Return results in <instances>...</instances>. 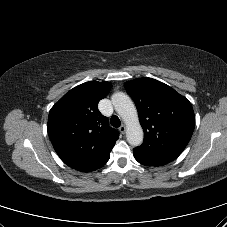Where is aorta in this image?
Instances as JSON below:
<instances>
[{
  "instance_id": "obj_1",
  "label": "aorta",
  "mask_w": 227,
  "mask_h": 227,
  "mask_svg": "<svg viewBox=\"0 0 227 227\" xmlns=\"http://www.w3.org/2000/svg\"><path fill=\"white\" fill-rule=\"evenodd\" d=\"M115 111L126 124V138L132 146H139L143 141V130L139 123L137 110L131 99L123 92L114 93L111 97Z\"/></svg>"
}]
</instances>
